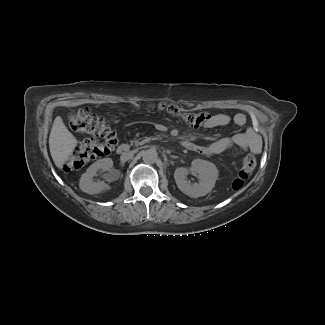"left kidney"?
Returning a JSON list of instances; mask_svg holds the SVG:
<instances>
[{"label":"left kidney","instance_id":"left-kidney-1","mask_svg":"<svg viewBox=\"0 0 325 325\" xmlns=\"http://www.w3.org/2000/svg\"><path fill=\"white\" fill-rule=\"evenodd\" d=\"M198 174L199 183L190 184L186 178L189 171ZM190 170L185 167L177 168L174 172V179L177 187L186 195L192 198H198L207 195L215 186L219 171L212 162L194 159Z\"/></svg>","mask_w":325,"mask_h":325}]
</instances>
